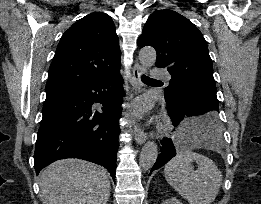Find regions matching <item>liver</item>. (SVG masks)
<instances>
[{"label":"liver","mask_w":261,"mask_h":204,"mask_svg":"<svg viewBox=\"0 0 261 204\" xmlns=\"http://www.w3.org/2000/svg\"><path fill=\"white\" fill-rule=\"evenodd\" d=\"M46 204H106L110 196L107 171L80 159L50 164L40 175Z\"/></svg>","instance_id":"obj_1"}]
</instances>
